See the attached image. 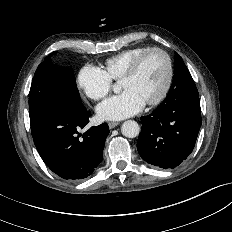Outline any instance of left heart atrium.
<instances>
[{
  "label": "left heart atrium",
  "mask_w": 232,
  "mask_h": 232,
  "mask_svg": "<svg viewBox=\"0 0 232 232\" xmlns=\"http://www.w3.org/2000/svg\"><path fill=\"white\" fill-rule=\"evenodd\" d=\"M145 102L130 90H124L97 107V114L103 120H121L138 113Z\"/></svg>",
  "instance_id": "1"
}]
</instances>
